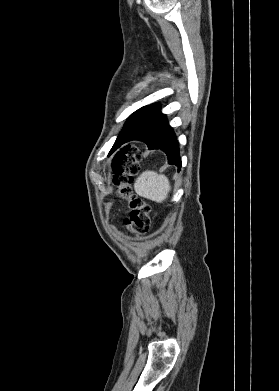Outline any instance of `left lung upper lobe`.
<instances>
[{"label": "left lung upper lobe", "mask_w": 279, "mask_h": 391, "mask_svg": "<svg viewBox=\"0 0 279 391\" xmlns=\"http://www.w3.org/2000/svg\"><path fill=\"white\" fill-rule=\"evenodd\" d=\"M164 116L165 115L160 112V106L158 104H152L140 108L129 117L124 125V128L116 139L112 150H115L120 146V143L125 136L140 134L153 126Z\"/></svg>", "instance_id": "obj_1"}]
</instances>
